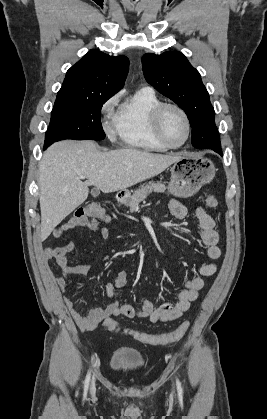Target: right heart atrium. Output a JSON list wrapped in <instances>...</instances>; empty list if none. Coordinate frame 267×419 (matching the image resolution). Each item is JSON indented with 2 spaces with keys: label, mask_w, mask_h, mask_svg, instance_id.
<instances>
[{
  "label": "right heart atrium",
  "mask_w": 267,
  "mask_h": 419,
  "mask_svg": "<svg viewBox=\"0 0 267 419\" xmlns=\"http://www.w3.org/2000/svg\"><path fill=\"white\" fill-rule=\"evenodd\" d=\"M118 102V96H112L111 98H109L102 106V112L107 113L109 111H111L113 109V107L117 104ZM105 132L109 137H113L114 135V126L112 125H107L105 126Z\"/></svg>",
  "instance_id": "right-heart-atrium-1"
}]
</instances>
